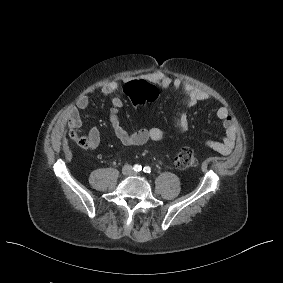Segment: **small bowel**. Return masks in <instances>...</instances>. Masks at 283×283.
Here are the masks:
<instances>
[{"instance_id": "obj_1", "label": "small bowel", "mask_w": 283, "mask_h": 283, "mask_svg": "<svg viewBox=\"0 0 283 283\" xmlns=\"http://www.w3.org/2000/svg\"><path fill=\"white\" fill-rule=\"evenodd\" d=\"M138 78L148 83L155 84L162 89H182L188 97V105L190 107L209 99V95L204 91L189 83H183L179 78L171 77L164 72H148L138 76ZM130 79L131 78H126L125 80L129 81ZM117 89L118 83L116 81L107 82L100 87L101 93L106 97L112 96ZM88 105V97L86 95H82L77 99L75 106L70 110L69 119L74 128L78 130L81 129L82 122L79 112L86 110ZM122 106V99L120 97H114L112 99L111 108L109 109L108 120L115 136L123 145L129 147L140 146L148 141L161 142L165 139V133L158 127L141 128L134 132H129L124 129L119 120V110ZM216 115L222 122V125L225 129V136L220 141L208 140L206 145L220 154L227 155L234 148L237 127L233 117L230 115L226 107H218L216 110ZM179 127L181 132H185L188 129V120L186 117L180 118ZM88 140L89 150H95L99 146L101 135L96 127L90 129L88 133Z\"/></svg>"}]
</instances>
